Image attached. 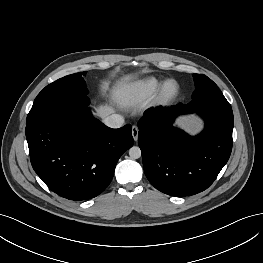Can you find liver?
<instances>
[{
    "instance_id": "obj_1",
    "label": "liver",
    "mask_w": 263,
    "mask_h": 263,
    "mask_svg": "<svg viewBox=\"0 0 263 263\" xmlns=\"http://www.w3.org/2000/svg\"><path fill=\"white\" fill-rule=\"evenodd\" d=\"M132 76L131 75H126L123 79L122 82L117 86V88L113 92V97H118L120 92L127 87V82L131 80ZM97 116L101 117L102 119L106 118L109 114L113 113L114 108L109 105H104V106H99L97 109Z\"/></svg>"
}]
</instances>
